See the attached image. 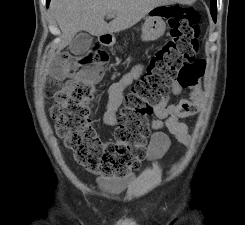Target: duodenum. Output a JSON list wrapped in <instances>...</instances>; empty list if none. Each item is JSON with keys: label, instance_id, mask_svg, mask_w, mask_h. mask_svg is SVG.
I'll return each instance as SVG.
<instances>
[{"label": "duodenum", "instance_id": "1", "mask_svg": "<svg viewBox=\"0 0 245 225\" xmlns=\"http://www.w3.org/2000/svg\"><path fill=\"white\" fill-rule=\"evenodd\" d=\"M99 39L106 46H109L110 42L112 41V37L107 33L101 34Z\"/></svg>", "mask_w": 245, "mask_h": 225}]
</instances>
